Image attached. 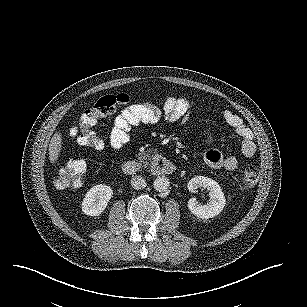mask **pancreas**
Returning <instances> with one entry per match:
<instances>
[{
    "label": "pancreas",
    "instance_id": "1",
    "mask_svg": "<svg viewBox=\"0 0 307 307\" xmlns=\"http://www.w3.org/2000/svg\"><path fill=\"white\" fill-rule=\"evenodd\" d=\"M147 155L145 153H140L138 155V160L143 164L144 167H147L149 162L146 161Z\"/></svg>",
    "mask_w": 307,
    "mask_h": 307
}]
</instances>
